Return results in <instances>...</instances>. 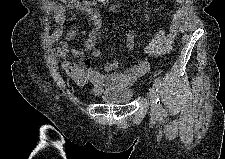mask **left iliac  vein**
Returning a JSON list of instances; mask_svg holds the SVG:
<instances>
[{"label": "left iliac vein", "instance_id": "obj_1", "mask_svg": "<svg viewBox=\"0 0 225 159\" xmlns=\"http://www.w3.org/2000/svg\"><path fill=\"white\" fill-rule=\"evenodd\" d=\"M149 99H150V103H151V115H152V117L157 118L159 111H160L159 110L160 104L158 102V96H157L154 85L150 89Z\"/></svg>", "mask_w": 225, "mask_h": 159}]
</instances>
